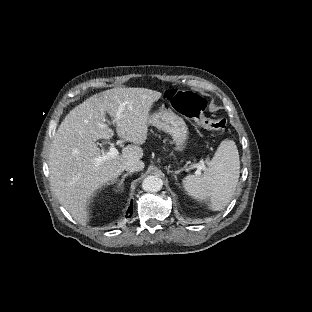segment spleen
Wrapping results in <instances>:
<instances>
[{
    "label": "spleen",
    "mask_w": 312,
    "mask_h": 312,
    "mask_svg": "<svg viewBox=\"0 0 312 312\" xmlns=\"http://www.w3.org/2000/svg\"><path fill=\"white\" fill-rule=\"evenodd\" d=\"M239 177V155L235 143L222 141L203 174L188 175L182 180L186 195L211 211L222 210L230 201Z\"/></svg>",
    "instance_id": "obj_1"
}]
</instances>
